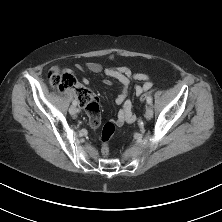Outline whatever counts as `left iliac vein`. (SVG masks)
<instances>
[{
    "mask_svg": "<svg viewBox=\"0 0 222 222\" xmlns=\"http://www.w3.org/2000/svg\"><path fill=\"white\" fill-rule=\"evenodd\" d=\"M153 117V109L151 106L146 107L145 118L150 120Z\"/></svg>",
    "mask_w": 222,
    "mask_h": 222,
    "instance_id": "obj_1",
    "label": "left iliac vein"
}]
</instances>
